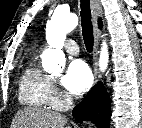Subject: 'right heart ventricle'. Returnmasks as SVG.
<instances>
[{
  "label": "right heart ventricle",
  "mask_w": 142,
  "mask_h": 128,
  "mask_svg": "<svg viewBox=\"0 0 142 128\" xmlns=\"http://www.w3.org/2000/svg\"><path fill=\"white\" fill-rule=\"evenodd\" d=\"M19 100L30 107H47L52 103L51 80L32 63L25 67L20 76Z\"/></svg>",
  "instance_id": "right-heart-ventricle-1"
}]
</instances>
